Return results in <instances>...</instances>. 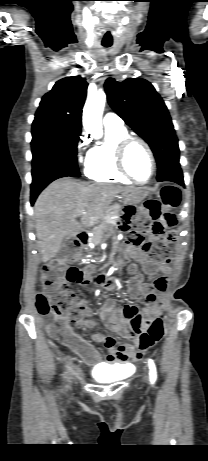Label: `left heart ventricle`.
<instances>
[{
  "label": "left heart ventricle",
  "instance_id": "1",
  "mask_svg": "<svg viewBox=\"0 0 208 461\" xmlns=\"http://www.w3.org/2000/svg\"><path fill=\"white\" fill-rule=\"evenodd\" d=\"M127 167L134 177L145 181L151 173V161L145 148L134 143L127 153Z\"/></svg>",
  "mask_w": 208,
  "mask_h": 461
}]
</instances>
